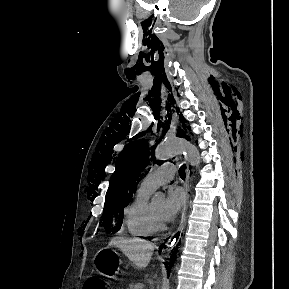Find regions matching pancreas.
Returning <instances> with one entry per match:
<instances>
[{
	"mask_svg": "<svg viewBox=\"0 0 289 289\" xmlns=\"http://www.w3.org/2000/svg\"><path fill=\"white\" fill-rule=\"evenodd\" d=\"M128 289H143L142 284H131Z\"/></svg>",
	"mask_w": 289,
	"mask_h": 289,
	"instance_id": "1",
	"label": "pancreas"
}]
</instances>
